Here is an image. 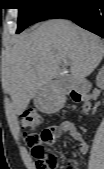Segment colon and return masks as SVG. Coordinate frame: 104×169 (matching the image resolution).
I'll use <instances>...</instances> for the list:
<instances>
[{
	"label": "colon",
	"instance_id": "obj_1",
	"mask_svg": "<svg viewBox=\"0 0 104 169\" xmlns=\"http://www.w3.org/2000/svg\"><path fill=\"white\" fill-rule=\"evenodd\" d=\"M74 103L80 100V94L76 91L70 93ZM42 124V116L34 110L24 112L20 117V126L24 131V138L31 154L35 159L36 169H58L59 158L55 152L45 147L49 139L60 135L58 126L46 128L41 133L38 132Z\"/></svg>",
	"mask_w": 104,
	"mask_h": 169
}]
</instances>
